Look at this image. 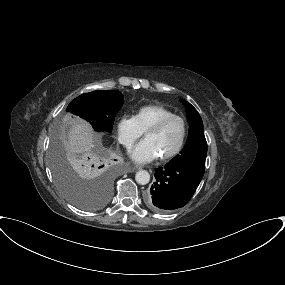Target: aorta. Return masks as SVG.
Wrapping results in <instances>:
<instances>
[{
    "mask_svg": "<svg viewBox=\"0 0 285 285\" xmlns=\"http://www.w3.org/2000/svg\"><path fill=\"white\" fill-rule=\"evenodd\" d=\"M135 180L140 185H146L150 181V174L146 170H140L136 173Z\"/></svg>",
    "mask_w": 285,
    "mask_h": 285,
    "instance_id": "aorta-1",
    "label": "aorta"
}]
</instances>
